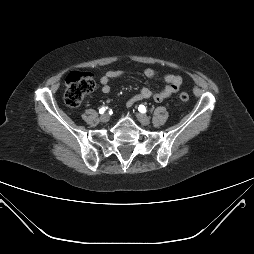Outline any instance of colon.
I'll use <instances>...</instances> for the list:
<instances>
[{
  "instance_id": "obj_1",
  "label": "colon",
  "mask_w": 254,
  "mask_h": 254,
  "mask_svg": "<svg viewBox=\"0 0 254 254\" xmlns=\"http://www.w3.org/2000/svg\"><path fill=\"white\" fill-rule=\"evenodd\" d=\"M95 88L94 77L90 72L74 71L71 72L65 81L64 101L70 108L78 107L83 99ZM179 98L183 102L189 100V95L182 92Z\"/></svg>"
}]
</instances>
